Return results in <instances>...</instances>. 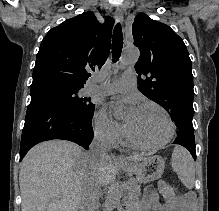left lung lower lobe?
<instances>
[{
    "label": "left lung lower lobe",
    "mask_w": 219,
    "mask_h": 211,
    "mask_svg": "<svg viewBox=\"0 0 219 211\" xmlns=\"http://www.w3.org/2000/svg\"><path fill=\"white\" fill-rule=\"evenodd\" d=\"M173 144H179L187 148L193 158L196 160L195 138L193 133L178 134Z\"/></svg>",
    "instance_id": "1"
}]
</instances>
